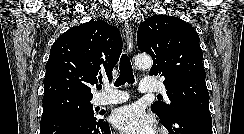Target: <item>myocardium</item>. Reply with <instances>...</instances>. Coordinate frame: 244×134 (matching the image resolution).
<instances>
[{"label":"myocardium","mask_w":244,"mask_h":134,"mask_svg":"<svg viewBox=\"0 0 244 134\" xmlns=\"http://www.w3.org/2000/svg\"><path fill=\"white\" fill-rule=\"evenodd\" d=\"M158 134H165L163 131H159V133Z\"/></svg>","instance_id":"1"}]
</instances>
